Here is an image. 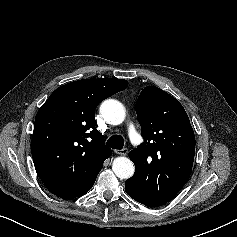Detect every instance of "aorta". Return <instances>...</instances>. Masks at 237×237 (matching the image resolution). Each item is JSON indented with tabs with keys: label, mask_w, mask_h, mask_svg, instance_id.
<instances>
[{
	"label": "aorta",
	"mask_w": 237,
	"mask_h": 237,
	"mask_svg": "<svg viewBox=\"0 0 237 237\" xmlns=\"http://www.w3.org/2000/svg\"><path fill=\"white\" fill-rule=\"evenodd\" d=\"M100 112L104 120L112 125H118L125 118V110L123 105L114 99L105 100L100 106ZM112 170L120 179H128L134 174V165L132 161L126 157H117L112 163Z\"/></svg>",
	"instance_id": "obj_1"
}]
</instances>
